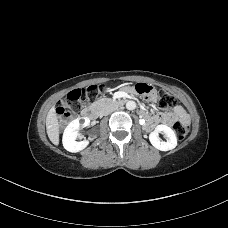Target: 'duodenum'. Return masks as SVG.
I'll return each mask as SVG.
<instances>
[{"label":"duodenum","instance_id":"1","mask_svg":"<svg viewBox=\"0 0 228 228\" xmlns=\"http://www.w3.org/2000/svg\"><path fill=\"white\" fill-rule=\"evenodd\" d=\"M125 103H126V100L120 99V98L112 99L109 101H103V102L96 104L95 106L83 109L81 115H82L83 119L92 121V120H95L98 118V116L100 115L101 109L105 105L123 106ZM156 121H157V118L155 116L150 119H147L145 126H149V125L155 123Z\"/></svg>","mask_w":228,"mask_h":228}]
</instances>
